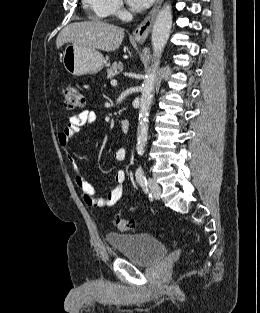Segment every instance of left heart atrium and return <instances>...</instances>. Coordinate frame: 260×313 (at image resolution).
Wrapping results in <instances>:
<instances>
[{"label":"left heart atrium","mask_w":260,"mask_h":313,"mask_svg":"<svg viewBox=\"0 0 260 313\" xmlns=\"http://www.w3.org/2000/svg\"><path fill=\"white\" fill-rule=\"evenodd\" d=\"M154 0H127L129 5L136 11H142L148 8Z\"/></svg>","instance_id":"1"}]
</instances>
